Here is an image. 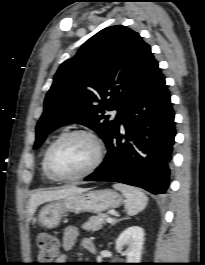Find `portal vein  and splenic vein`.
I'll use <instances>...</instances> for the list:
<instances>
[{"label":"portal vein and splenic vein","mask_w":205,"mask_h":265,"mask_svg":"<svg viewBox=\"0 0 205 265\" xmlns=\"http://www.w3.org/2000/svg\"><path fill=\"white\" fill-rule=\"evenodd\" d=\"M106 222H108V223H112V222H114V219L111 218V217H107V218H106Z\"/></svg>","instance_id":"portal-vein-and-splenic-vein-1"}]
</instances>
